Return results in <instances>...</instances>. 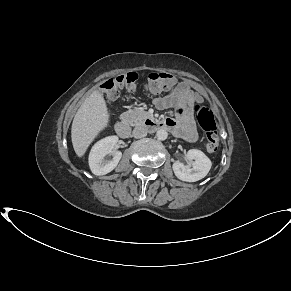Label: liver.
Segmentation results:
<instances>
[{
	"label": "liver",
	"instance_id": "obj_1",
	"mask_svg": "<svg viewBox=\"0 0 291 291\" xmlns=\"http://www.w3.org/2000/svg\"><path fill=\"white\" fill-rule=\"evenodd\" d=\"M109 124V114L103 95L93 91L76 112L71 128L74 151L82 157L90 144Z\"/></svg>",
	"mask_w": 291,
	"mask_h": 291
}]
</instances>
